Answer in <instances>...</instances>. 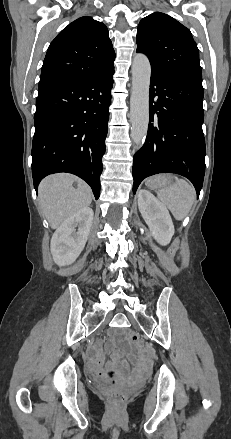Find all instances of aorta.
<instances>
[{"instance_id":"1","label":"aorta","mask_w":231,"mask_h":439,"mask_svg":"<svg viewBox=\"0 0 231 439\" xmlns=\"http://www.w3.org/2000/svg\"><path fill=\"white\" fill-rule=\"evenodd\" d=\"M151 65L143 54H137L132 64V94L130 98L131 138L141 146L149 124V87Z\"/></svg>"}]
</instances>
